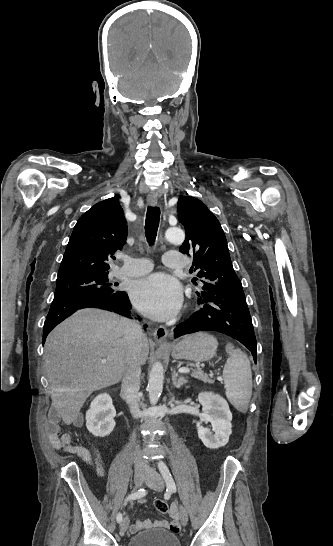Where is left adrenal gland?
Instances as JSON below:
<instances>
[{
	"mask_svg": "<svg viewBox=\"0 0 333 546\" xmlns=\"http://www.w3.org/2000/svg\"><path fill=\"white\" fill-rule=\"evenodd\" d=\"M172 382L176 388H181V386L186 384L188 380H186L184 377L178 378V373L174 370L172 374Z\"/></svg>",
	"mask_w": 333,
	"mask_h": 546,
	"instance_id": "left-adrenal-gland-1",
	"label": "left adrenal gland"
}]
</instances>
